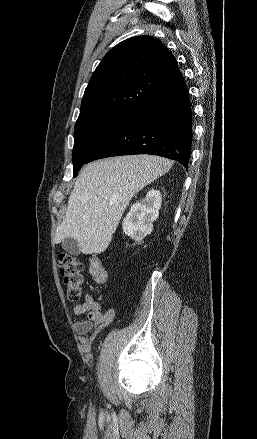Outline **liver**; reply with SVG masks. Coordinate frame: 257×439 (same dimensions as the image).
<instances>
[{"instance_id": "1", "label": "liver", "mask_w": 257, "mask_h": 439, "mask_svg": "<svg viewBox=\"0 0 257 439\" xmlns=\"http://www.w3.org/2000/svg\"><path fill=\"white\" fill-rule=\"evenodd\" d=\"M156 155H127L87 164L70 194L55 243L74 238L83 254H100L132 197L171 168Z\"/></svg>"}]
</instances>
